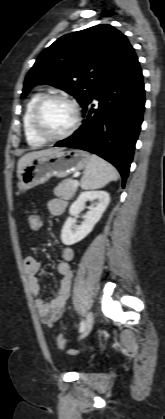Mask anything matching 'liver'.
<instances>
[{"instance_id":"1","label":"liver","mask_w":165,"mask_h":419,"mask_svg":"<svg viewBox=\"0 0 165 419\" xmlns=\"http://www.w3.org/2000/svg\"><path fill=\"white\" fill-rule=\"evenodd\" d=\"M62 150V148H49V149H45V150H40V151H33V152H29L27 154H25L24 156H22L17 164V175L19 176V174L21 173L22 169L33 159L39 156H45L48 154H52L54 152H58Z\"/></svg>"}]
</instances>
